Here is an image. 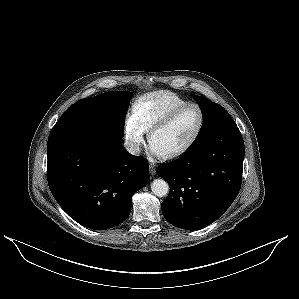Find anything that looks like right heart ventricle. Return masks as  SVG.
Returning a JSON list of instances; mask_svg holds the SVG:
<instances>
[{
  "label": "right heart ventricle",
  "mask_w": 299,
  "mask_h": 299,
  "mask_svg": "<svg viewBox=\"0 0 299 299\" xmlns=\"http://www.w3.org/2000/svg\"><path fill=\"white\" fill-rule=\"evenodd\" d=\"M189 103L186 99L170 91H156L141 96L134 105L133 113L149 130L172 111Z\"/></svg>",
  "instance_id": "e07e8e85"
}]
</instances>
